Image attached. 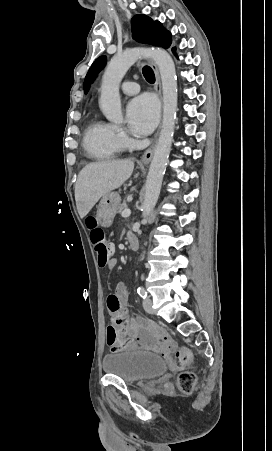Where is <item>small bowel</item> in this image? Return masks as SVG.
<instances>
[{
    "instance_id": "1",
    "label": "small bowel",
    "mask_w": 272,
    "mask_h": 451,
    "mask_svg": "<svg viewBox=\"0 0 272 451\" xmlns=\"http://www.w3.org/2000/svg\"><path fill=\"white\" fill-rule=\"evenodd\" d=\"M130 234L129 236H131ZM129 238V237H128ZM112 249H113V245ZM117 260L112 258L107 263L109 269L115 268ZM128 291L124 283H119L114 292L107 297V308L112 315H123L128 320V326L125 331L120 332L122 339L137 341L142 347L151 349L155 352H161L165 342L164 337L169 336L162 328L149 321H140L136 318L128 319Z\"/></svg>"
}]
</instances>
